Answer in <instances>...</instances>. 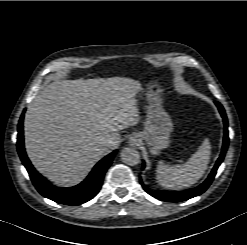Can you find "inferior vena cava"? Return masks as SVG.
Wrapping results in <instances>:
<instances>
[{"instance_id":"obj_1","label":"inferior vena cava","mask_w":247,"mask_h":245,"mask_svg":"<svg viewBox=\"0 0 247 245\" xmlns=\"http://www.w3.org/2000/svg\"><path fill=\"white\" fill-rule=\"evenodd\" d=\"M117 145H118V143L115 140L109 139V140L105 141L102 146L106 152H110V151L116 149Z\"/></svg>"}]
</instances>
